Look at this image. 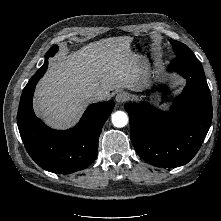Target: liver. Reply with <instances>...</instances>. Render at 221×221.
<instances>
[{
	"instance_id": "6515ba94",
	"label": "liver",
	"mask_w": 221,
	"mask_h": 221,
	"mask_svg": "<svg viewBox=\"0 0 221 221\" xmlns=\"http://www.w3.org/2000/svg\"><path fill=\"white\" fill-rule=\"evenodd\" d=\"M131 37L111 38L86 45L52 62L37 90V104L59 125L74 120L99 89L109 93L135 90L142 58L131 49Z\"/></svg>"
}]
</instances>
